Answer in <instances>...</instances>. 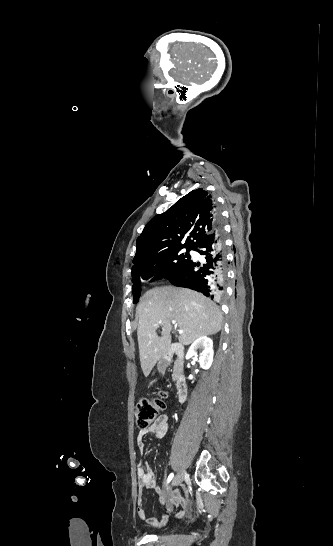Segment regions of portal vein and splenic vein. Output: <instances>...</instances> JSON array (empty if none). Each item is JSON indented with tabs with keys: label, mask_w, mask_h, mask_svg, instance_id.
I'll return each instance as SVG.
<instances>
[{
	"label": "portal vein and splenic vein",
	"mask_w": 333,
	"mask_h": 546,
	"mask_svg": "<svg viewBox=\"0 0 333 546\" xmlns=\"http://www.w3.org/2000/svg\"><path fill=\"white\" fill-rule=\"evenodd\" d=\"M172 324H176V321L172 320ZM179 334H183V330H179Z\"/></svg>",
	"instance_id": "18ae733b"
}]
</instances>
